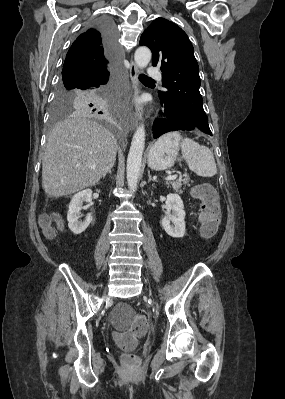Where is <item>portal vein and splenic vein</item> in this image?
Instances as JSON below:
<instances>
[{"mask_svg":"<svg viewBox=\"0 0 285 399\" xmlns=\"http://www.w3.org/2000/svg\"><path fill=\"white\" fill-rule=\"evenodd\" d=\"M177 178V174H175V175H169V176H167L166 178H165V180L166 181H170V180H174V179H176Z\"/></svg>","mask_w":285,"mask_h":399,"instance_id":"portal-vein-and-splenic-vein-1","label":"portal vein and splenic vein"}]
</instances>
